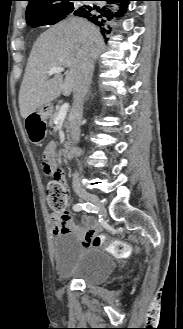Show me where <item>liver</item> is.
<instances>
[{
    "label": "liver",
    "mask_w": 183,
    "mask_h": 329,
    "mask_svg": "<svg viewBox=\"0 0 183 329\" xmlns=\"http://www.w3.org/2000/svg\"><path fill=\"white\" fill-rule=\"evenodd\" d=\"M104 48L99 28L83 18L65 19L42 33L31 50L19 91L21 116L26 119L60 94H69L79 85L84 56L96 59ZM68 67L65 79L60 73L53 78V67Z\"/></svg>",
    "instance_id": "6515ba94"
}]
</instances>
